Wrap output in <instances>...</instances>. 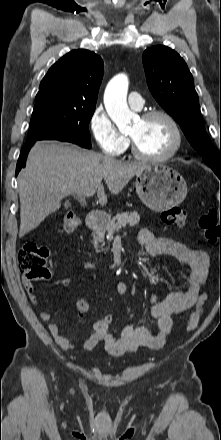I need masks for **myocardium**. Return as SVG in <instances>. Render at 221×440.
Segmentation results:
<instances>
[{
	"instance_id": "f54148a6",
	"label": "myocardium",
	"mask_w": 221,
	"mask_h": 440,
	"mask_svg": "<svg viewBox=\"0 0 221 440\" xmlns=\"http://www.w3.org/2000/svg\"><path fill=\"white\" fill-rule=\"evenodd\" d=\"M154 117H163L170 124V126L173 130V134H174V142H173L172 147L170 148V150L168 152H166L165 154H162V155H158V156L146 155L139 150L138 146L136 145L135 140L130 136L131 145H132V153L139 160L149 161V162H163V161H167V160L171 159L172 157H174L178 153V151L180 150V148L182 146V140H183L182 131H181V128H180L177 120L169 112H167L165 110L153 109V110H149L141 115L142 120H148V119H151Z\"/></svg>"
}]
</instances>
